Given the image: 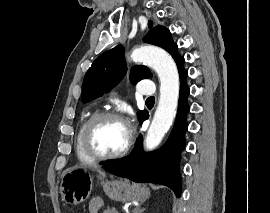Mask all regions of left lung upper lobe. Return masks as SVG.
Instances as JSON below:
<instances>
[{
    "mask_svg": "<svg viewBox=\"0 0 270 213\" xmlns=\"http://www.w3.org/2000/svg\"><path fill=\"white\" fill-rule=\"evenodd\" d=\"M148 24L149 27H152V21H149ZM144 41L165 49L175 60L178 71L184 70V58L179 55L177 44L172 40L170 31L167 28L160 25L156 26L149 31ZM125 73L126 64L122 45L101 54L95 59L85 75L82 86L83 102H88L112 89L124 77ZM149 77H151V73L146 66H135L131 69L130 79L133 84ZM147 114V111L137 113L140 121Z\"/></svg>",
    "mask_w": 270,
    "mask_h": 213,
    "instance_id": "left-lung-upper-lobe-1",
    "label": "left lung upper lobe"
}]
</instances>
